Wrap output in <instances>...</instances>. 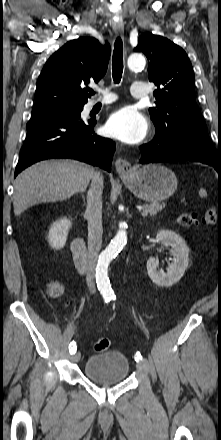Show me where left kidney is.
<instances>
[{
	"instance_id": "left-kidney-1",
	"label": "left kidney",
	"mask_w": 221,
	"mask_h": 440,
	"mask_svg": "<svg viewBox=\"0 0 221 440\" xmlns=\"http://www.w3.org/2000/svg\"><path fill=\"white\" fill-rule=\"evenodd\" d=\"M156 240L164 247L170 248L172 263L167 272L158 270V262L155 258L147 261V272L150 279L160 287H170L177 283L184 275L189 264V247L184 239L171 230H161L157 233Z\"/></svg>"
}]
</instances>
